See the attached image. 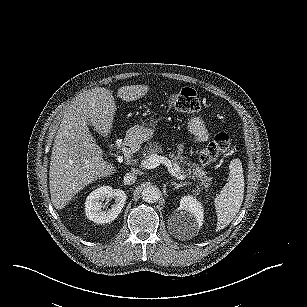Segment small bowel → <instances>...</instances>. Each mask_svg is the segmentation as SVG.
<instances>
[{"mask_svg":"<svg viewBox=\"0 0 307 307\" xmlns=\"http://www.w3.org/2000/svg\"><path fill=\"white\" fill-rule=\"evenodd\" d=\"M188 129L194 136L195 141L204 142L208 139V132L199 117H193L189 120Z\"/></svg>","mask_w":307,"mask_h":307,"instance_id":"c3829d8e","label":"small bowel"}]
</instances>
